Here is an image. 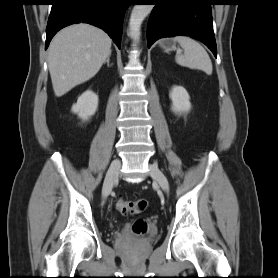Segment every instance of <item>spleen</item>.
<instances>
[{
    "label": "spleen",
    "mask_w": 278,
    "mask_h": 278,
    "mask_svg": "<svg viewBox=\"0 0 278 278\" xmlns=\"http://www.w3.org/2000/svg\"><path fill=\"white\" fill-rule=\"evenodd\" d=\"M178 42L184 50L183 54H177L175 57L176 62L191 69H200L207 73L212 74V62L206 50L194 39L187 36H177L173 39Z\"/></svg>",
    "instance_id": "3e777b00"
}]
</instances>
